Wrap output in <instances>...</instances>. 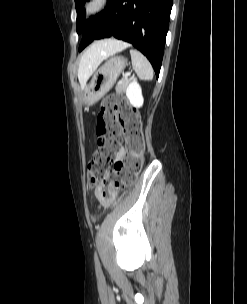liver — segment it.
I'll list each match as a JSON object with an SVG mask.
<instances>
[{
    "label": "liver",
    "mask_w": 247,
    "mask_h": 304,
    "mask_svg": "<svg viewBox=\"0 0 247 304\" xmlns=\"http://www.w3.org/2000/svg\"><path fill=\"white\" fill-rule=\"evenodd\" d=\"M128 45L115 39H106L92 44L81 56L78 68V79L81 87L86 85L89 77L107 57L122 51Z\"/></svg>",
    "instance_id": "6515ba94"
}]
</instances>
